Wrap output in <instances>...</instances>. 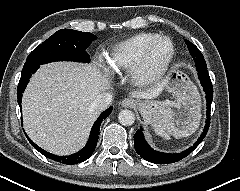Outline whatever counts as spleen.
<instances>
[{"instance_id": "3e777b00", "label": "spleen", "mask_w": 240, "mask_h": 191, "mask_svg": "<svg viewBox=\"0 0 240 191\" xmlns=\"http://www.w3.org/2000/svg\"><path fill=\"white\" fill-rule=\"evenodd\" d=\"M151 124L155 133L167 140L170 139V135L175 137H187L195 132L198 127L190 126L184 129L177 128L166 109L160 110V112L152 119Z\"/></svg>"}]
</instances>
